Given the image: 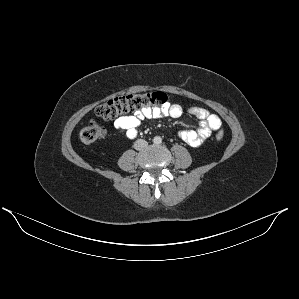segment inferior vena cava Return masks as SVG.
Segmentation results:
<instances>
[{"mask_svg":"<svg viewBox=\"0 0 299 299\" xmlns=\"http://www.w3.org/2000/svg\"><path fill=\"white\" fill-rule=\"evenodd\" d=\"M148 146V143L144 139H138L134 142V148L136 150H143Z\"/></svg>","mask_w":299,"mask_h":299,"instance_id":"1","label":"inferior vena cava"}]
</instances>
